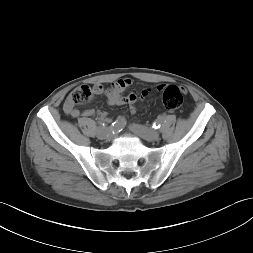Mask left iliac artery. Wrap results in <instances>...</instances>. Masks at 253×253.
Wrapping results in <instances>:
<instances>
[{
    "label": "left iliac artery",
    "mask_w": 253,
    "mask_h": 253,
    "mask_svg": "<svg viewBox=\"0 0 253 253\" xmlns=\"http://www.w3.org/2000/svg\"><path fill=\"white\" fill-rule=\"evenodd\" d=\"M162 119H158L154 122L153 126L154 128L158 129L161 127Z\"/></svg>",
    "instance_id": "44dca946"
}]
</instances>
